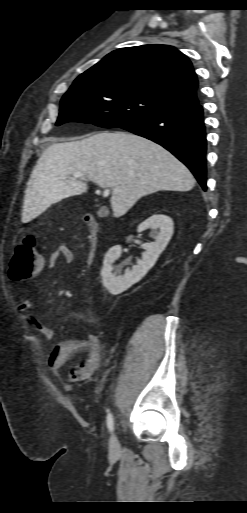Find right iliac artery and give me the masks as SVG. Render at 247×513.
<instances>
[{
  "instance_id": "obj_1",
  "label": "right iliac artery",
  "mask_w": 247,
  "mask_h": 513,
  "mask_svg": "<svg viewBox=\"0 0 247 513\" xmlns=\"http://www.w3.org/2000/svg\"><path fill=\"white\" fill-rule=\"evenodd\" d=\"M106 421H107V427H108L109 431L112 432L114 429V419H113V415L110 412L107 415Z\"/></svg>"
}]
</instances>
